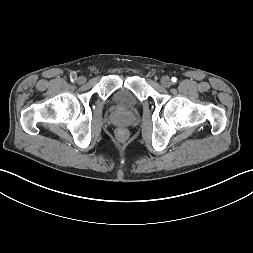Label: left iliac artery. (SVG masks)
Instances as JSON below:
<instances>
[{"label": "left iliac artery", "mask_w": 253, "mask_h": 253, "mask_svg": "<svg viewBox=\"0 0 253 253\" xmlns=\"http://www.w3.org/2000/svg\"><path fill=\"white\" fill-rule=\"evenodd\" d=\"M171 80H172V82H174V83L177 81V79H176L175 77H172Z\"/></svg>", "instance_id": "left-iliac-artery-1"}]
</instances>
